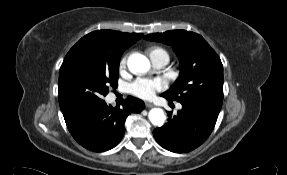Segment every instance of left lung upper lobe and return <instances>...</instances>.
<instances>
[{
	"label": "left lung upper lobe",
	"instance_id": "left-lung-upper-lobe-1",
	"mask_svg": "<svg viewBox=\"0 0 287 175\" xmlns=\"http://www.w3.org/2000/svg\"><path fill=\"white\" fill-rule=\"evenodd\" d=\"M171 45L180 59V75L162 95L189 104L216 118L223 101V66L219 56L197 33L173 30L144 37Z\"/></svg>",
	"mask_w": 287,
	"mask_h": 175
}]
</instances>
